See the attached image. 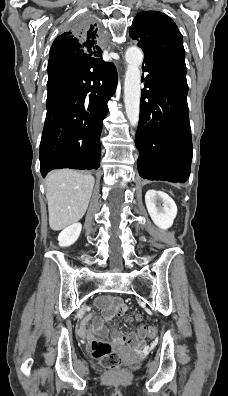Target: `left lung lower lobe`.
I'll list each match as a JSON object with an SVG mask.
<instances>
[{"label":"left lung lower lobe","mask_w":228,"mask_h":396,"mask_svg":"<svg viewBox=\"0 0 228 396\" xmlns=\"http://www.w3.org/2000/svg\"><path fill=\"white\" fill-rule=\"evenodd\" d=\"M142 69L147 75L142 77L145 83L135 137L139 174L148 180L184 183L193 152L186 76L161 62L148 61Z\"/></svg>","instance_id":"0a47b994"}]
</instances>
